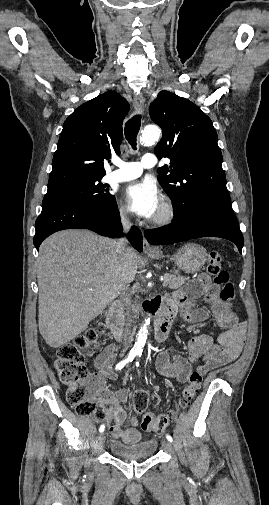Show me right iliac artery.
<instances>
[{
	"instance_id": "82829eb1",
	"label": "right iliac artery",
	"mask_w": 269,
	"mask_h": 505,
	"mask_svg": "<svg viewBox=\"0 0 269 505\" xmlns=\"http://www.w3.org/2000/svg\"><path fill=\"white\" fill-rule=\"evenodd\" d=\"M136 355H137V353L135 351H131L124 360H122L121 362H119L116 365L115 369L116 370L122 369L127 363L132 362ZM104 429H105V426L103 424L100 426L99 432L102 433L104 431Z\"/></svg>"
}]
</instances>
